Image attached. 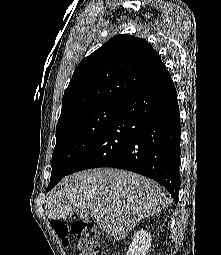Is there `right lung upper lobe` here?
I'll return each mask as SVG.
<instances>
[{
	"label": "right lung upper lobe",
	"instance_id": "1",
	"mask_svg": "<svg viewBox=\"0 0 221 255\" xmlns=\"http://www.w3.org/2000/svg\"><path fill=\"white\" fill-rule=\"evenodd\" d=\"M166 68L144 39L114 36L75 69L62 100L61 121L79 110L119 103L158 78Z\"/></svg>",
	"mask_w": 221,
	"mask_h": 255
}]
</instances>
